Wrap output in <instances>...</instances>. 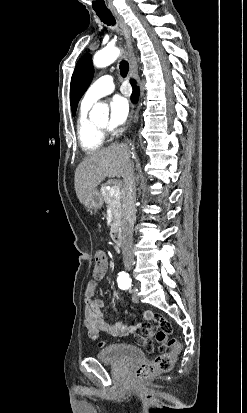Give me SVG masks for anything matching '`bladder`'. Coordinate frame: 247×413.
I'll return each instance as SVG.
<instances>
[{
  "label": "bladder",
  "mask_w": 247,
  "mask_h": 413,
  "mask_svg": "<svg viewBox=\"0 0 247 413\" xmlns=\"http://www.w3.org/2000/svg\"><path fill=\"white\" fill-rule=\"evenodd\" d=\"M140 358H144V351L126 344H109L96 355V359L101 361L120 364H126L128 361Z\"/></svg>",
  "instance_id": "bladder-1"
}]
</instances>
